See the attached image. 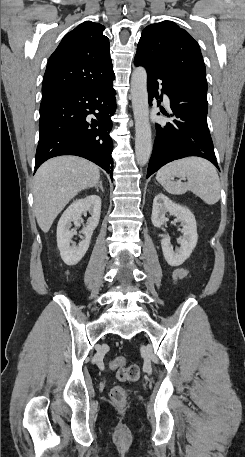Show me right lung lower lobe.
Wrapping results in <instances>:
<instances>
[{
  "label": "right lung lower lobe",
  "mask_w": 245,
  "mask_h": 457,
  "mask_svg": "<svg viewBox=\"0 0 245 457\" xmlns=\"http://www.w3.org/2000/svg\"><path fill=\"white\" fill-rule=\"evenodd\" d=\"M115 75L78 86L42 100L35 171L49 158L84 157L113 178L111 116L115 113ZM93 114L96 118L90 119Z\"/></svg>",
  "instance_id": "1"
}]
</instances>
